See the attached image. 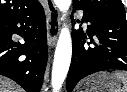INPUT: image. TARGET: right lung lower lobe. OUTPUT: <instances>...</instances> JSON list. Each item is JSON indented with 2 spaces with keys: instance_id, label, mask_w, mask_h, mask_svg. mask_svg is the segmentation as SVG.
I'll return each instance as SVG.
<instances>
[{
  "instance_id": "98d812e1",
  "label": "right lung lower lobe",
  "mask_w": 127,
  "mask_h": 92,
  "mask_svg": "<svg viewBox=\"0 0 127 92\" xmlns=\"http://www.w3.org/2000/svg\"><path fill=\"white\" fill-rule=\"evenodd\" d=\"M13 34L25 43L15 42ZM47 52L46 20L40 3L30 12L0 22V75L27 92H40Z\"/></svg>"
}]
</instances>
